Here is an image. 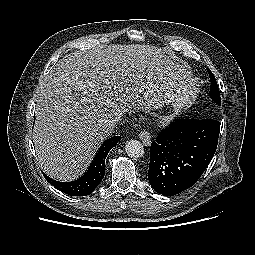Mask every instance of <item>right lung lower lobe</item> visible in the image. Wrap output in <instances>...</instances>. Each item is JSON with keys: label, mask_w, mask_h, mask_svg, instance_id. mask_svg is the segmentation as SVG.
<instances>
[{"label": "right lung lower lobe", "mask_w": 255, "mask_h": 255, "mask_svg": "<svg viewBox=\"0 0 255 255\" xmlns=\"http://www.w3.org/2000/svg\"><path fill=\"white\" fill-rule=\"evenodd\" d=\"M120 139V136L107 139L100 147L89 169L81 178L71 182H58L49 176H45V178L51 185L71 196L90 195L105 175V159L107 154L117 145Z\"/></svg>", "instance_id": "obj_1"}]
</instances>
